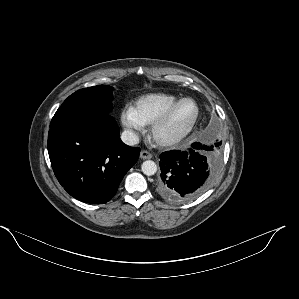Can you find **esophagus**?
Returning a JSON list of instances; mask_svg holds the SVG:
<instances>
[{"instance_id":"obj_1","label":"esophagus","mask_w":299,"mask_h":299,"mask_svg":"<svg viewBox=\"0 0 299 299\" xmlns=\"http://www.w3.org/2000/svg\"><path fill=\"white\" fill-rule=\"evenodd\" d=\"M152 157H153V155L150 152L146 151V150H142L140 152V158L143 159V160L151 159Z\"/></svg>"}]
</instances>
